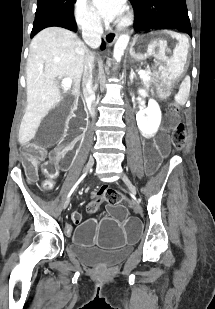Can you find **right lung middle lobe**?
Here are the masks:
<instances>
[{
	"mask_svg": "<svg viewBox=\"0 0 215 309\" xmlns=\"http://www.w3.org/2000/svg\"><path fill=\"white\" fill-rule=\"evenodd\" d=\"M76 0H37V10L31 37L40 30L56 26V22L64 23L63 27L76 30L74 19V3Z\"/></svg>",
	"mask_w": 215,
	"mask_h": 309,
	"instance_id": "1",
	"label": "right lung middle lobe"
}]
</instances>
